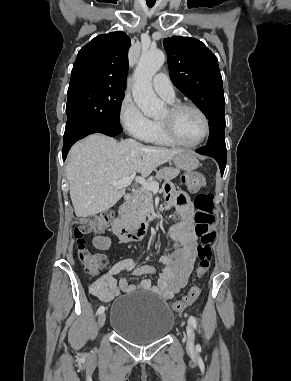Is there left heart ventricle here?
Returning a JSON list of instances; mask_svg holds the SVG:
<instances>
[{
	"label": "left heart ventricle",
	"mask_w": 291,
	"mask_h": 381,
	"mask_svg": "<svg viewBox=\"0 0 291 381\" xmlns=\"http://www.w3.org/2000/svg\"><path fill=\"white\" fill-rule=\"evenodd\" d=\"M168 118V111L165 110L159 120ZM174 130L177 136L184 142L193 143L203 134L204 123L201 116L191 109L180 112L174 119Z\"/></svg>",
	"instance_id": "1"
}]
</instances>
